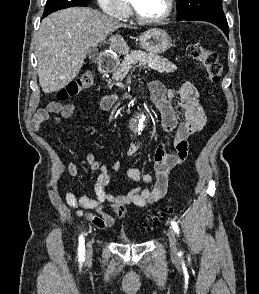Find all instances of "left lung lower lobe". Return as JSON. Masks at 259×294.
Returning <instances> with one entry per match:
<instances>
[{"label":"left lung lower lobe","instance_id":"1","mask_svg":"<svg viewBox=\"0 0 259 294\" xmlns=\"http://www.w3.org/2000/svg\"><path fill=\"white\" fill-rule=\"evenodd\" d=\"M206 21L213 23L214 25L218 26L227 37H229V26L227 23V19L225 16H215V15H196V16H190L187 18H177V21Z\"/></svg>","mask_w":259,"mask_h":294}]
</instances>
